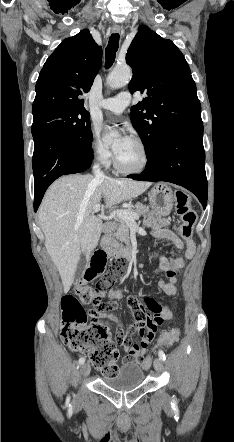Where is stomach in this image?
<instances>
[{
    "mask_svg": "<svg viewBox=\"0 0 234 442\" xmlns=\"http://www.w3.org/2000/svg\"><path fill=\"white\" fill-rule=\"evenodd\" d=\"M151 208L161 216H168L174 205L172 189L163 183L154 185L149 192Z\"/></svg>",
    "mask_w": 234,
    "mask_h": 442,
    "instance_id": "1",
    "label": "stomach"
}]
</instances>
